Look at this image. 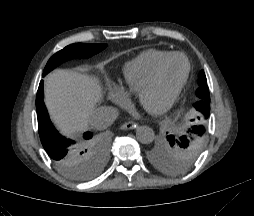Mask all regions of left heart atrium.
<instances>
[{
    "label": "left heart atrium",
    "instance_id": "obj_1",
    "mask_svg": "<svg viewBox=\"0 0 254 216\" xmlns=\"http://www.w3.org/2000/svg\"><path fill=\"white\" fill-rule=\"evenodd\" d=\"M144 108H145L147 111H152L151 108H149V107H147V106H145V105H144Z\"/></svg>",
    "mask_w": 254,
    "mask_h": 216
}]
</instances>
